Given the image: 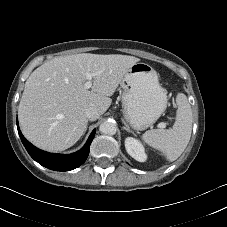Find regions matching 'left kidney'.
I'll list each match as a JSON object with an SVG mask.
<instances>
[{"label":"left kidney","mask_w":227,"mask_h":227,"mask_svg":"<svg viewBox=\"0 0 227 227\" xmlns=\"http://www.w3.org/2000/svg\"><path fill=\"white\" fill-rule=\"evenodd\" d=\"M125 148L127 153L139 162H145L147 155L141 142L133 137L125 139Z\"/></svg>","instance_id":"left-kidney-1"}]
</instances>
